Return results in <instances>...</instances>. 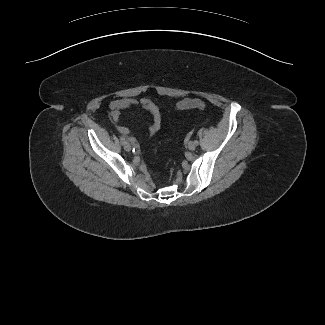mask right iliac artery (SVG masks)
Segmentation results:
<instances>
[{"mask_svg": "<svg viewBox=\"0 0 325 325\" xmlns=\"http://www.w3.org/2000/svg\"><path fill=\"white\" fill-rule=\"evenodd\" d=\"M120 141L123 144L125 142V138L123 136L120 137Z\"/></svg>", "mask_w": 325, "mask_h": 325, "instance_id": "obj_1", "label": "right iliac artery"}]
</instances>
